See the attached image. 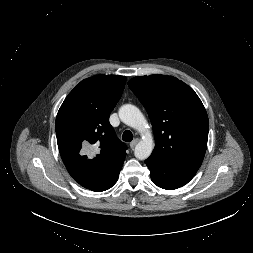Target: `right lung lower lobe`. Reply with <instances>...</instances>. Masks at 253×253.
<instances>
[{
    "instance_id": "right-lung-lower-lobe-1",
    "label": "right lung lower lobe",
    "mask_w": 253,
    "mask_h": 253,
    "mask_svg": "<svg viewBox=\"0 0 253 253\" xmlns=\"http://www.w3.org/2000/svg\"><path fill=\"white\" fill-rule=\"evenodd\" d=\"M118 176H119V175H118ZM118 176L112 181V183H111L105 190L111 188V187L116 183V181H117V179H118ZM105 190H104V191H105Z\"/></svg>"
}]
</instances>
